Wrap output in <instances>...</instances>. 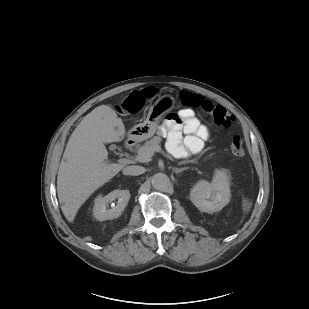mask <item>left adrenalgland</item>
Returning a JSON list of instances; mask_svg holds the SVG:
<instances>
[{
  "label": "left adrenal gland",
  "mask_w": 309,
  "mask_h": 309,
  "mask_svg": "<svg viewBox=\"0 0 309 309\" xmlns=\"http://www.w3.org/2000/svg\"><path fill=\"white\" fill-rule=\"evenodd\" d=\"M188 169V167H184V168H173V171L176 173V174H178V173H180V172H182V171H184V170H187Z\"/></svg>",
  "instance_id": "a2214340"
}]
</instances>
